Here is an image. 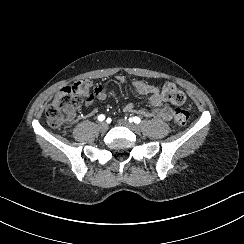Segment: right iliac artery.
<instances>
[{
  "instance_id": "right-iliac-artery-1",
  "label": "right iliac artery",
  "mask_w": 244,
  "mask_h": 244,
  "mask_svg": "<svg viewBox=\"0 0 244 244\" xmlns=\"http://www.w3.org/2000/svg\"><path fill=\"white\" fill-rule=\"evenodd\" d=\"M105 119V116L103 114L99 115L98 116V120L99 121H103Z\"/></svg>"
}]
</instances>
